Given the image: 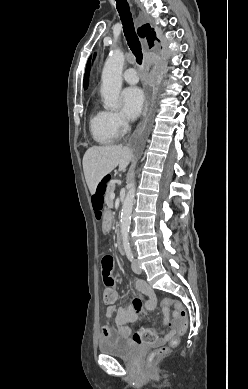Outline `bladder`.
I'll return each instance as SVG.
<instances>
[{"label":"bladder","instance_id":"1","mask_svg":"<svg viewBox=\"0 0 248 389\" xmlns=\"http://www.w3.org/2000/svg\"><path fill=\"white\" fill-rule=\"evenodd\" d=\"M98 349L102 355L129 359L135 354L137 346L128 338L113 333L100 340Z\"/></svg>","mask_w":248,"mask_h":389}]
</instances>
